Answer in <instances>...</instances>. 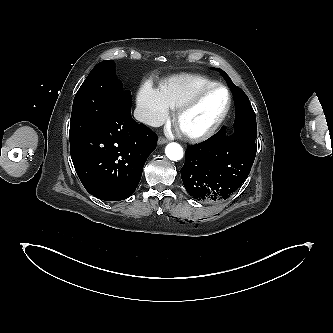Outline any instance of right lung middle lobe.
I'll list each match as a JSON object with an SVG mask.
<instances>
[{
    "label": "right lung middle lobe",
    "instance_id": "dd1d6c3e",
    "mask_svg": "<svg viewBox=\"0 0 333 333\" xmlns=\"http://www.w3.org/2000/svg\"><path fill=\"white\" fill-rule=\"evenodd\" d=\"M125 91L116 78L113 60L98 63L87 76L73 101L69 138L76 140L106 117Z\"/></svg>",
    "mask_w": 333,
    "mask_h": 333
}]
</instances>
